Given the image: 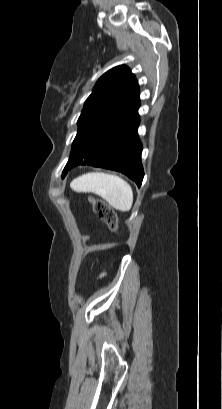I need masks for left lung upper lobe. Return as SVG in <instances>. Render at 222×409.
<instances>
[{"label":"left lung upper lobe","mask_w":222,"mask_h":409,"mask_svg":"<svg viewBox=\"0 0 222 409\" xmlns=\"http://www.w3.org/2000/svg\"><path fill=\"white\" fill-rule=\"evenodd\" d=\"M135 101H139L138 83L126 66L114 67L101 76L78 119V132L69 161L63 170V177L67 174L70 163L84 151L92 139L118 119Z\"/></svg>","instance_id":"1"}]
</instances>
